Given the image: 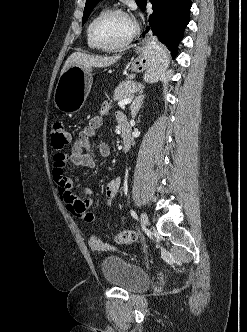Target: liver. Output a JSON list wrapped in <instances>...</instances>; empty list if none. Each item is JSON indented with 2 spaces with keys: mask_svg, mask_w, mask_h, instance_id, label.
<instances>
[{
  "mask_svg": "<svg viewBox=\"0 0 247 332\" xmlns=\"http://www.w3.org/2000/svg\"><path fill=\"white\" fill-rule=\"evenodd\" d=\"M120 59V56H100L90 55L82 52L72 53L66 60L61 74L64 73L70 66L79 65L86 67H108L116 63Z\"/></svg>",
  "mask_w": 247,
  "mask_h": 332,
  "instance_id": "liver-1",
  "label": "liver"
}]
</instances>
